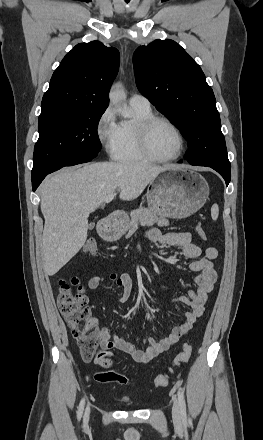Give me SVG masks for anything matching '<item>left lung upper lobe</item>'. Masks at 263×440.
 I'll list each match as a JSON object with an SVG mask.
<instances>
[{"instance_id":"5c2ea615","label":"left lung upper lobe","mask_w":263,"mask_h":440,"mask_svg":"<svg viewBox=\"0 0 263 440\" xmlns=\"http://www.w3.org/2000/svg\"><path fill=\"white\" fill-rule=\"evenodd\" d=\"M139 91L188 141L191 165L230 167L216 100L200 66L173 40H155L133 55Z\"/></svg>"}]
</instances>
